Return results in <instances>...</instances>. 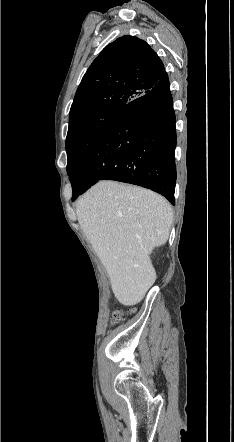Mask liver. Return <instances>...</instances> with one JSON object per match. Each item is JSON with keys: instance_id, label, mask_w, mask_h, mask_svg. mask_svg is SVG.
Segmentation results:
<instances>
[{"instance_id": "liver-1", "label": "liver", "mask_w": 234, "mask_h": 442, "mask_svg": "<svg viewBox=\"0 0 234 442\" xmlns=\"http://www.w3.org/2000/svg\"><path fill=\"white\" fill-rule=\"evenodd\" d=\"M76 214L117 300L139 303L156 279L150 254L169 237V202L141 187L100 181L78 200Z\"/></svg>"}]
</instances>
